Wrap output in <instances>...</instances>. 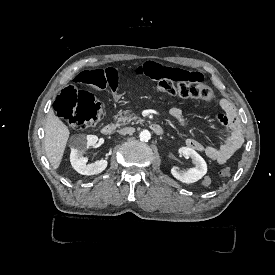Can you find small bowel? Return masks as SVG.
I'll list each match as a JSON object with an SVG mask.
<instances>
[{
  "label": "small bowel",
  "instance_id": "1",
  "mask_svg": "<svg viewBox=\"0 0 275 275\" xmlns=\"http://www.w3.org/2000/svg\"><path fill=\"white\" fill-rule=\"evenodd\" d=\"M105 78L110 84L111 92L115 100L120 101L128 97L129 92L125 88H121V83L118 78V73L113 67L108 66L104 70ZM140 73L147 76L152 81H180L188 76H193L197 80V85L204 81V74L201 71L192 69L182 70L173 64L160 65L155 62H148L140 68ZM216 104L223 110L227 117V126L224 131V138L218 146L206 145L194 138H188L186 145L191 149L203 153L208 159L223 165L236 153L243 144V135L238 112L234 105L224 98L216 100ZM170 115L180 125L187 126L188 120L184 115V110L181 106H174L170 109Z\"/></svg>",
  "mask_w": 275,
  "mask_h": 275
}]
</instances>
